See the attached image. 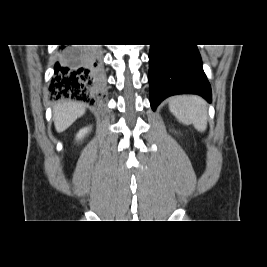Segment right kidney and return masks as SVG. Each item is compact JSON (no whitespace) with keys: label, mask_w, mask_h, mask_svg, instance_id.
Returning <instances> with one entry per match:
<instances>
[{"label":"right kidney","mask_w":267,"mask_h":267,"mask_svg":"<svg viewBox=\"0 0 267 267\" xmlns=\"http://www.w3.org/2000/svg\"><path fill=\"white\" fill-rule=\"evenodd\" d=\"M88 131H89V128L81 129L76 136L77 140H81L82 138H84V136L88 133Z\"/></svg>","instance_id":"1"}]
</instances>
